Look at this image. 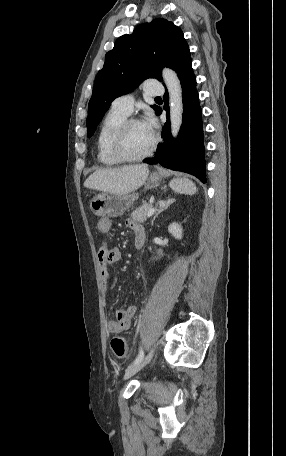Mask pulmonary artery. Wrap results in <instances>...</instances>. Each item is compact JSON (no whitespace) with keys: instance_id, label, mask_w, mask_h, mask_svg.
Listing matches in <instances>:
<instances>
[{"instance_id":"e3ab8cb5","label":"pulmonary artery","mask_w":286,"mask_h":456,"mask_svg":"<svg viewBox=\"0 0 286 456\" xmlns=\"http://www.w3.org/2000/svg\"><path fill=\"white\" fill-rule=\"evenodd\" d=\"M158 81L155 78H149L146 81L145 92L150 96H160L164 94V89L157 85ZM134 96L125 94L117 97L112 102V108L126 115H130L133 111Z\"/></svg>"}]
</instances>
